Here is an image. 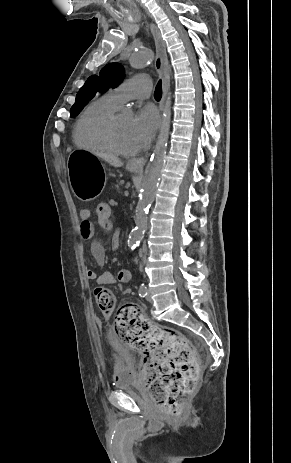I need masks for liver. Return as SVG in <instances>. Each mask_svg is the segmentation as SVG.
I'll list each match as a JSON object with an SVG mask.
<instances>
[{
	"instance_id": "obj_1",
	"label": "liver",
	"mask_w": 291,
	"mask_h": 463,
	"mask_svg": "<svg viewBox=\"0 0 291 463\" xmlns=\"http://www.w3.org/2000/svg\"><path fill=\"white\" fill-rule=\"evenodd\" d=\"M95 154L114 167H121L123 165L122 161L112 154L102 152H96Z\"/></svg>"
}]
</instances>
